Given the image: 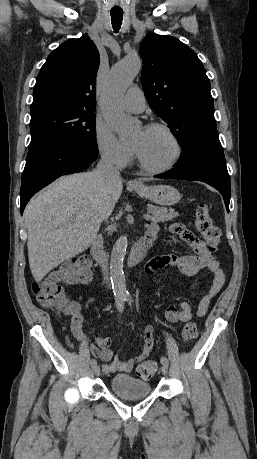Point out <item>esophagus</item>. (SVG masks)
I'll use <instances>...</instances> for the list:
<instances>
[{
    "mask_svg": "<svg viewBox=\"0 0 257 459\" xmlns=\"http://www.w3.org/2000/svg\"><path fill=\"white\" fill-rule=\"evenodd\" d=\"M131 184H133V185H137V184H139V181H138V180H136V179H134V180H132V181H131Z\"/></svg>",
    "mask_w": 257,
    "mask_h": 459,
    "instance_id": "esophagus-1",
    "label": "esophagus"
}]
</instances>
